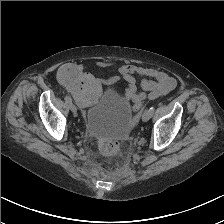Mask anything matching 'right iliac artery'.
<instances>
[{
  "label": "right iliac artery",
  "mask_w": 224,
  "mask_h": 224,
  "mask_svg": "<svg viewBox=\"0 0 224 224\" xmlns=\"http://www.w3.org/2000/svg\"><path fill=\"white\" fill-rule=\"evenodd\" d=\"M65 101H66L67 103H71V102H72V100H71V98H70L69 96H66V97H65Z\"/></svg>",
  "instance_id": "right-iliac-artery-1"
}]
</instances>
